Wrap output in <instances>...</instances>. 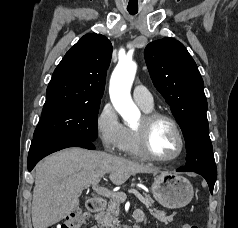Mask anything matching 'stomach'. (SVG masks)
Segmentation results:
<instances>
[{"instance_id":"stomach-1","label":"stomach","mask_w":238,"mask_h":228,"mask_svg":"<svg viewBox=\"0 0 238 228\" xmlns=\"http://www.w3.org/2000/svg\"><path fill=\"white\" fill-rule=\"evenodd\" d=\"M151 191L155 200L169 209L186 206L194 195L193 186L188 179L165 171L156 175Z\"/></svg>"}]
</instances>
